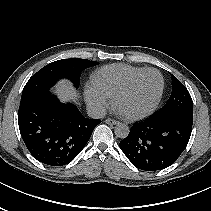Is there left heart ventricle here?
Segmentation results:
<instances>
[{"label":"left heart ventricle","mask_w":211,"mask_h":211,"mask_svg":"<svg viewBox=\"0 0 211 211\" xmlns=\"http://www.w3.org/2000/svg\"><path fill=\"white\" fill-rule=\"evenodd\" d=\"M161 88V78L156 72L145 74L133 89L118 102V108L126 114L140 113L152 106Z\"/></svg>","instance_id":"left-heart-ventricle-1"}]
</instances>
